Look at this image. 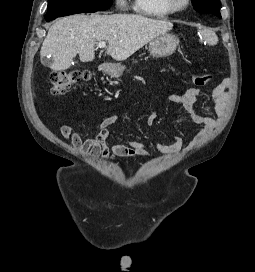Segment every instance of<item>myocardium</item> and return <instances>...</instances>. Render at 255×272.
Masks as SVG:
<instances>
[{
    "label": "myocardium",
    "mask_w": 255,
    "mask_h": 272,
    "mask_svg": "<svg viewBox=\"0 0 255 272\" xmlns=\"http://www.w3.org/2000/svg\"><path fill=\"white\" fill-rule=\"evenodd\" d=\"M165 6L173 13L184 11L190 4V0H163Z\"/></svg>",
    "instance_id": "1"
}]
</instances>
